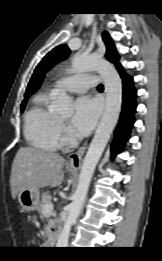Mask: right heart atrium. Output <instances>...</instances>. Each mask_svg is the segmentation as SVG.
Returning <instances> with one entry per match:
<instances>
[{
	"instance_id": "1",
	"label": "right heart atrium",
	"mask_w": 162,
	"mask_h": 261,
	"mask_svg": "<svg viewBox=\"0 0 162 261\" xmlns=\"http://www.w3.org/2000/svg\"><path fill=\"white\" fill-rule=\"evenodd\" d=\"M57 132H58V141L60 145H64L73 139V136L69 131L68 127L62 122H59Z\"/></svg>"
}]
</instances>
